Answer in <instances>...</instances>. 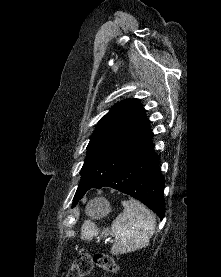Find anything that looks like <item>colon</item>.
Masks as SVG:
<instances>
[{"mask_svg":"<svg viewBox=\"0 0 221 277\" xmlns=\"http://www.w3.org/2000/svg\"><path fill=\"white\" fill-rule=\"evenodd\" d=\"M93 267H98L109 272H116L118 270L115 261L107 254L83 253L73 259L67 272V277H83L88 275Z\"/></svg>","mask_w":221,"mask_h":277,"instance_id":"5ec220e1","label":"colon"}]
</instances>
